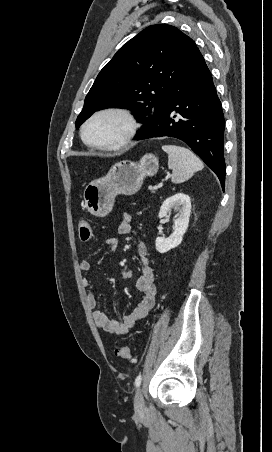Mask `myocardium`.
<instances>
[{
    "instance_id": "1",
    "label": "myocardium",
    "mask_w": 272,
    "mask_h": 452,
    "mask_svg": "<svg viewBox=\"0 0 272 452\" xmlns=\"http://www.w3.org/2000/svg\"><path fill=\"white\" fill-rule=\"evenodd\" d=\"M105 115H116L121 117L125 123H126V130L123 136L119 139V141L115 143L110 144H99V143H92L87 140L86 138V130L88 126L97 118ZM138 130V123L133 116V114L121 107H106L102 108L100 110L95 111L93 114H91L86 121L83 123L81 127V138L83 142L88 145L91 148L98 149V150H106V151H118L126 147L132 139L135 137Z\"/></svg>"
}]
</instances>
